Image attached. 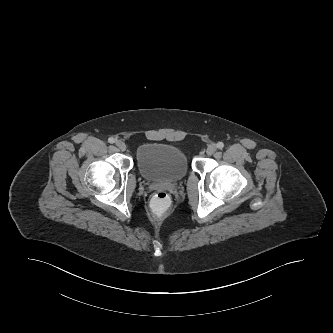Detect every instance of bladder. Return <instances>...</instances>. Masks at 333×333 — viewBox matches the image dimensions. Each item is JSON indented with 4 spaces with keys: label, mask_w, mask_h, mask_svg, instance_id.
Segmentation results:
<instances>
[{
    "label": "bladder",
    "mask_w": 333,
    "mask_h": 333,
    "mask_svg": "<svg viewBox=\"0 0 333 333\" xmlns=\"http://www.w3.org/2000/svg\"><path fill=\"white\" fill-rule=\"evenodd\" d=\"M141 176L150 181L176 182L188 171L186 155L178 148L159 143H146L135 153Z\"/></svg>",
    "instance_id": "31cf9c89"
}]
</instances>
